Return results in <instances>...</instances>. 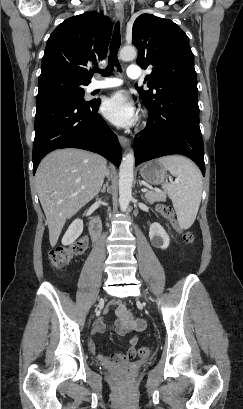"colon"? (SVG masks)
<instances>
[{
    "instance_id": "1",
    "label": "colon",
    "mask_w": 243,
    "mask_h": 409,
    "mask_svg": "<svg viewBox=\"0 0 243 409\" xmlns=\"http://www.w3.org/2000/svg\"><path fill=\"white\" fill-rule=\"evenodd\" d=\"M158 211L164 218L170 220L171 223L177 227V223L174 220V210L171 206L160 205L158 207ZM182 238L186 243H192L194 240V236L190 231L182 232ZM87 244V238L82 237L69 247H60L53 250L50 253V263L52 267L56 269L63 268L71 261L73 257L82 254L85 251ZM138 353L140 357L147 359L151 356L152 351L148 347H140Z\"/></svg>"
}]
</instances>
